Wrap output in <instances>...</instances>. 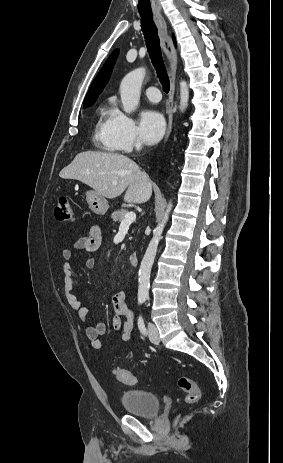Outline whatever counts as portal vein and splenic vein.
Wrapping results in <instances>:
<instances>
[{
	"instance_id": "obj_1",
	"label": "portal vein and splenic vein",
	"mask_w": 283,
	"mask_h": 463,
	"mask_svg": "<svg viewBox=\"0 0 283 463\" xmlns=\"http://www.w3.org/2000/svg\"><path fill=\"white\" fill-rule=\"evenodd\" d=\"M136 219V214L135 212L131 211V212H128L126 215H125V218L122 220L121 222V226L122 225H126V224H131L132 222H134Z\"/></svg>"
}]
</instances>
